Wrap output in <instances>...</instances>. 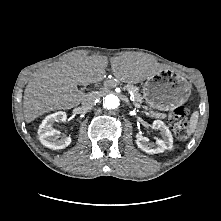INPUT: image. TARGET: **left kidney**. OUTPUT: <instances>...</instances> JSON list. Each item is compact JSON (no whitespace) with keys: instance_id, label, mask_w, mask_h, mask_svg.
<instances>
[{"instance_id":"left-kidney-1","label":"left kidney","mask_w":221,"mask_h":221,"mask_svg":"<svg viewBox=\"0 0 221 221\" xmlns=\"http://www.w3.org/2000/svg\"><path fill=\"white\" fill-rule=\"evenodd\" d=\"M154 129L160 130L162 134V139H157L156 144L149 142L147 137L142 136L138 133L136 135L137 146L146 153L156 154L164 152L167 149H172L173 147V137L169 128L161 120H155L152 124Z\"/></svg>"}]
</instances>
